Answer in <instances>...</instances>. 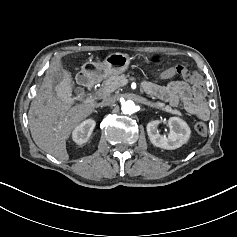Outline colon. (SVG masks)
Masks as SVG:
<instances>
[{
	"label": "colon",
	"instance_id": "1",
	"mask_svg": "<svg viewBox=\"0 0 237 237\" xmlns=\"http://www.w3.org/2000/svg\"><path fill=\"white\" fill-rule=\"evenodd\" d=\"M152 61L158 63V62H160V58L153 57ZM175 72L178 75H180L181 77H183L185 80H188V81L194 77V74L192 73V71L184 66H177L175 68ZM195 130L200 135H206V133L208 131V126L205 122H197L195 125Z\"/></svg>",
	"mask_w": 237,
	"mask_h": 237
}]
</instances>
